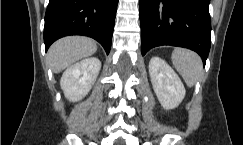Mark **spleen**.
Wrapping results in <instances>:
<instances>
[{"label": "spleen", "instance_id": "obj_1", "mask_svg": "<svg viewBox=\"0 0 243 145\" xmlns=\"http://www.w3.org/2000/svg\"><path fill=\"white\" fill-rule=\"evenodd\" d=\"M172 63L189 87L196 83L203 71L201 58L188 49H174Z\"/></svg>", "mask_w": 243, "mask_h": 145}]
</instances>
